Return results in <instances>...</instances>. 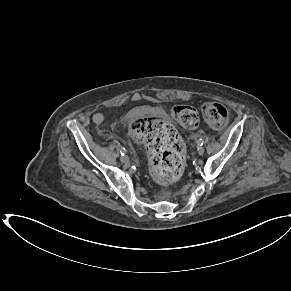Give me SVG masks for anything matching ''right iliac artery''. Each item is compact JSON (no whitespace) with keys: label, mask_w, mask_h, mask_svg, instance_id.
<instances>
[{"label":"right iliac artery","mask_w":291,"mask_h":291,"mask_svg":"<svg viewBox=\"0 0 291 291\" xmlns=\"http://www.w3.org/2000/svg\"><path fill=\"white\" fill-rule=\"evenodd\" d=\"M120 153H121V155L123 156V155L126 153L125 148H121V149H120Z\"/></svg>","instance_id":"right-iliac-artery-1"}]
</instances>
